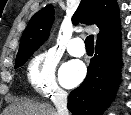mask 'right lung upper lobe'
Here are the masks:
<instances>
[{"label":"right lung upper lobe","instance_id":"right-lung-upper-lobe-1","mask_svg":"<svg viewBox=\"0 0 131 115\" xmlns=\"http://www.w3.org/2000/svg\"><path fill=\"white\" fill-rule=\"evenodd\" d=\"M53 21L52 5H47L35 13L23 32L17 56L43 44L49 36ZM72 22L97 25L100 32L96 44L120 36L119 8L116 0H81Z\"/></svg>","mask_w":131,"mask_h":115}]
</instances>
